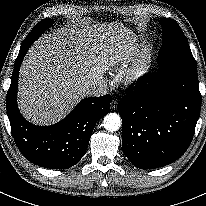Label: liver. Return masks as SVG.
Masks as SVG:
<instances>
[{
  "label": "liver",
  "mask_w": 206,
  "mask_h": 206,
  "mask_svg": "<svg viewBox=\"0 0 206 206\" xmlns=\"http://www.w3.org/2000/svg\"><path fill=\"white\" fill-rule=\"evenodd\" d=\"M135 50L129 33L113 24L73 25L39 38L19 71L20 111L35 124L60 120L87 88Z\"/></svg>",
  "instance_id": "1"
}]
</instances>
